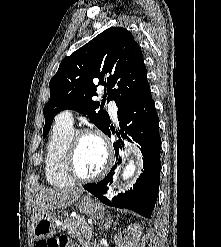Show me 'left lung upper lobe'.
<instances>
[{
    "mask_svg": "<svg viewBox=\"0 0 221 247\" xmlns=\"http://www.w3.org/2000/svg\"><path fill=\"white\" fill-rule=\"evenodd\" d=\"M99 85L105 88L102 104L107 98V102L114 100L117 107L151 95L141 49L125 28L105 30L61 62L49 83L50 99L43 109V137L54 117L66 109L86 114L105 133L110 125L109 115L99 102L92 100Z\"/></svg>",
    "mask_w": 221,
    "mask_h": 247,
    "instance_id": "1",
    "label": "left lung upper lobe"
}]
</instances>
